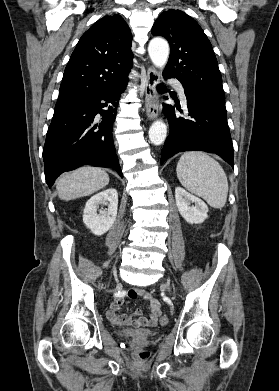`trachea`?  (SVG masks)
I'll list each match as a JSON object with an SVG mask.
<instances>
[{"instance_id":"trachea-1","label":"trachea","mask_w":279,"mask_h":391,"mask_svg":"<svg viewBox=\"0 0 279 391\" xmlns=\"http://www.w3.org/2000/svg\"><path fill=\"white\" fill-rule=\"evenodd\" d=\"M157 89L158 90L165 89V86L163 84H158Z\"/></svg>"}]
</instances>
